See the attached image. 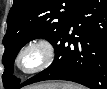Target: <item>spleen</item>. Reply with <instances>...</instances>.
Segmentation results:
<instances>
[{
  "label": "spleen",
  "instance_id": "1",
  "mask_svg": "<svg viewBox=\"0 0 107 89\" xmlns=\"http://www.w3.org/2000/svg\"><path fill=\"white\" fill-rule=\"evenodd\" d=\"M62 89H82L79 85L64 83L61 87Z\"/></svg>",
  "mask_w": 107,
  "mask_h": 89
}]
</instances>
